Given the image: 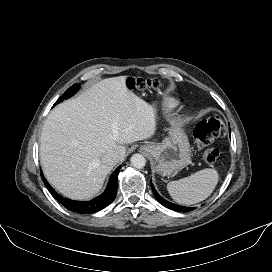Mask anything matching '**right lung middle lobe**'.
I'll return each mask as SVG.
<instances>
[{"label":"right lung middle lobe","mask_w":272,"mask_h":272,"mask_svg":"<svg viewBox=\"0 0 272 272\" xmlns=\"http://www.w3.org/2000/svg\"><path fill=\"white\" fill-rule=\"evenodd\" d=\"M80 85L79 84H74L72 87L68 88L66 90V92L63 94L62 97H60L57 102H55L54 106L60 102H62L64 99L70 98L73 94H75L78 89H79Z\"/></svg>","instance_id":"dd1d6c3e"}]
</instances>
